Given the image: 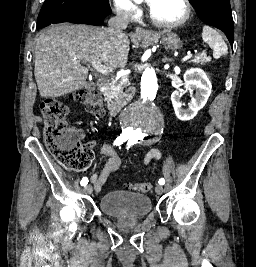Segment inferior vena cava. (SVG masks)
I'll list each match as a JSON object with an SVG mask.
<instances>
[{
	"label": "inferior vena cava",
	"mask_w": 256,
	"mask_h": 267,
	"mask_svg": "<svg viewBox=\"0 0 256 267\" xmlns=\"http://www.w3.org/2000/svg\"><path fill=\"white\" fill-rule=\"evenodd\" d=\"M130 20V12L126 10L125 6H118L115 18H111L108 22V34L118 36V38H126L123 30H126Z\"/></svg>",
	"instance_id": "602c4592"
}]
</instances>
